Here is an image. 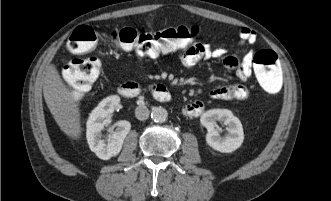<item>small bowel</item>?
<instances>
[{"label":"small bowel","mask_w":331,"mask_h":201,"mask_svg":"<svg viewBox=\"0 0 331 201\" xmlns=\"http://www.w3.org/2000/svg\"><path fill=\"white\" fill-rule=\"evenodd\" d=\"M239 37L244 44H254L257 41V33L249 28H241ZM224 47H212L207 42H198L184 49L180 59L185 67H193L201 61L210 59H222L224 67L236 71V76L242 82L247 81L253 73V54L247 52L242 59L226 55ZM210 96L219 100H245L249 97V90L246 86L233 83L225 86L215 87L210 91ZM183 114L188 117L200 116L204 111V103L200 100L185 105Z\"/></svg>","instance_id":"c3829d8e"}]
</instances>
